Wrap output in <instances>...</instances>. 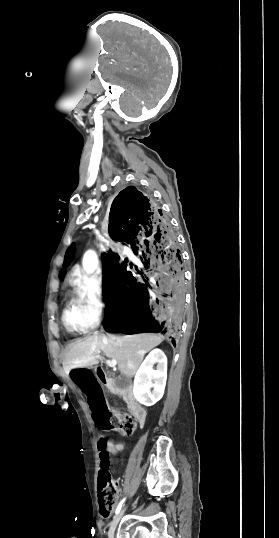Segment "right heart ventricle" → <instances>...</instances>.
Returning a JSON list of instances; mask_svg holds the SVG:
<instances>
[{"label": "right heart ventricle", "mask_w": 279, "mask_h": 538, "mask_svg": "<svg viewBox=\"0 0 279 538\" xmlns=\"http://www.w3.org/2000/svg\"><path fill=\"white\" fill-rule=\"evenodd\" d=\"M49 228H54L56 233L60 234L65 240H71L75 232L71 226L64 228L60 209H58L52 221L49 219ZM83 311L84 304L82 300L70 298L67 301L63 310L62 320L69 332H84L87 330Z\"/></svg>", "instance_id": "e07e8e85"}]
</instances>
